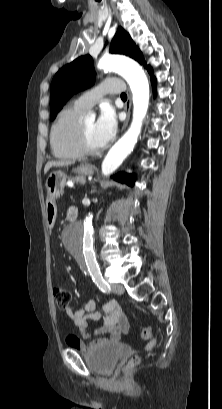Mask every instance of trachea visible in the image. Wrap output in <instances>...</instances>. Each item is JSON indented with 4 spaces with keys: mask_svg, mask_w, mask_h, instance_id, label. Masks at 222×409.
Segmentation results:
<instances>
[{
    "mask_svg": "<svg viewBox=\"0 0 222 409\" xmlns=\"http://www.w3.org/2000/svg\"><path fill=\"white\" fill-rule=\"evenodd\" d=\"M121 98H122V99H127V95H126L125 93H122V94H121Z\"/></svg>",
    "mask_w": 222,
    "mask_h": 409,
    "instance_id": "1",
    "label": "trachea"
}]
</instances>
